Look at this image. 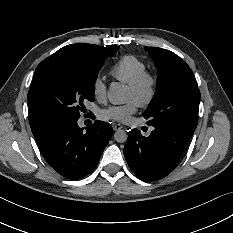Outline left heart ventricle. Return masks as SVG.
Listing matches in <instances>:
<instances>
[{
  "label": "left heart ventricle",
  "instance_id": "obj_1",
  "mask_svg": "<svg viewBox=\"0 0 233 233\" xmlns=\"http://www.w3.org/2000/svg\"><path fill=\"white\" fill-rule=\"evenodd\" d=\"M127 96H128V100L129 99H136L139 102L141 101V98H142L141 94L135 93L134 91H132L128 88H127Z\"/></svg>",
  "mask_w": 233,
  "mask_h": 233
}]
</instances>
